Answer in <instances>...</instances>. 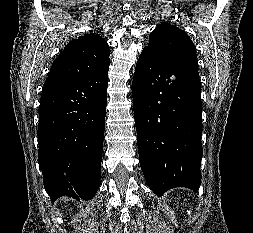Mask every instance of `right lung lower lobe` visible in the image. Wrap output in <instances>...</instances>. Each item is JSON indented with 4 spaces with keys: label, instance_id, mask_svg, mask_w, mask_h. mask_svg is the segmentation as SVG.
I'll list each match as a JSON object with an SVG mask.
<instances>
[{
    "label": "right lung lower lobe",
    "instance_id": "right-lung-lower-lobe-1",
    "mask_svg": "<svg viewBox=\"0 0 253 233\" xmlns=\"http://www.w3.org/2000/svg\"><path fill=\"white\" fill-rule=\"evenodd\" d=\"M108 71L46 81L39 108L38 162L45 190L90 200L100 185Z\"/></svg>",
    "mask_w": 253,
    "mask_h": 233
}]
</instances>
